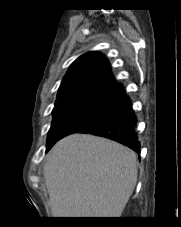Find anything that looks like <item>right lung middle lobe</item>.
<instances>
[{
    "label": "right lung middle lobe",
    "mask_w": 181,
    "mask_h": 227,
    "mask_svg": "<svg viewBox=\"0 0 181 227\" xmlns=\"http://www.w3.org/2000/svg\"><path fill=\"white\" fill-rule=\"evenodd\" d=\"M112 91L83 93L59 99L53 109V122L47 144L57 142L66 130L97 111L109 99Z\"/></svg>",
    "instance_id": "dd1d6c3e"
}]
</instances>
